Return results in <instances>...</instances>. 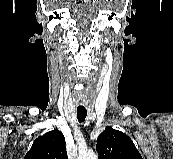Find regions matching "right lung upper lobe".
Listing matches in <instances>:
<instances>
[{
	"mask_svg": "<svg viewBox=\"0 0 173 159\" xmlns=\"http://www.w3.org/2000/svg\"><path fill=\"white\" fill-rule=\"evenodd\" d=\"M24 159H67L62 132L55 129L36 138Z\"/></svg>",
	"mask_w": 173,
	"mask_h": 159,
	"instance_id": "obj_1",
	"label": "right lung upper lobe"
}]
</instances>
